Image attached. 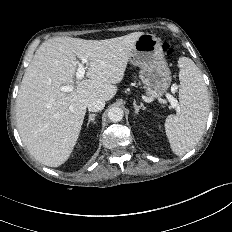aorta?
Listing matches in <instances>:
<instances>
[{
    "label": "aorta",
    "mask_w": 232,
    "mask_h": 232,
    "mask_svg": "<svg viewBox=\"0 0 232 232\" xmlns=\"http://www.w3.org/2000/svg\"><path fill=\"white\" fill-rule=\"evenodd\" d=\"M124 112L120 107H112L108 110V118L112 122H119L122 120Z\"/></svg>",
    "instance_id": "1"
}]
</instances>
